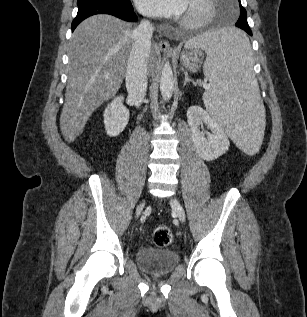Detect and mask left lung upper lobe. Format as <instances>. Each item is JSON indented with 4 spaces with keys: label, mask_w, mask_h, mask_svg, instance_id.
<instances>
[{
    "label": "left lung upper lobe",
    "mask_w": 307,
    "mask_h": 317,
    "mask_svg": "<svg viewBox=\"0 0 307 317\" xmlns=\"http://www.w3.org/2000/svg\"><path fill=\"white\" fill-rule=\"evenodd\" d=\"M239 1V4H240V16H239V19L237 21V23L235 24L237 27L239 28H242L243 26L245 27H249L248 25V22H247V13H246V10L245 8L241 5V2L240 0Z\"/></svg>",
    "instance_id": "obj_1"
}]
</instances>
